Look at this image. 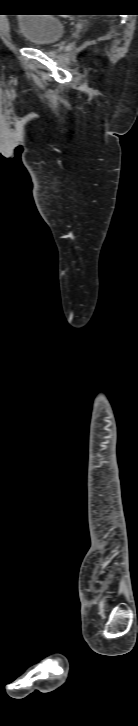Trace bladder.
I'll return each mask as SVG.
<instances>
[{"mask_svg":"<svg viewBox=\"0 0 138 726\" xmlns=\"http://www.w3.org/2000/svg\"><path fill=\"white\" fill-rule=\"evenodd\" d=\"M24 42L32 47H49L65 34V23L42 14H26L16 20Z\"/></svg>","mask_w":138,"mask_h":726,"instance_id":"bladder-1","label":"bladder"}]
</instances>
